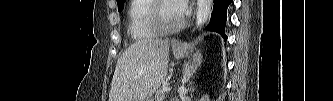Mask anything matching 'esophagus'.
<instances>
[{"instance_id":"34e87169","label":"esophagus","mask_w":333,"mask_h":101,"mask_svg":"<svg viewBox=\"0 0 333 101\" xmlns=\"http://www.w3.org/2000/svg\"><path fill=\"white\" fill-rule=\"evenodd\" d=\"M181 43V41L180 40H174V44H176V45H179Z\"/></svg>"}]
</instances>
